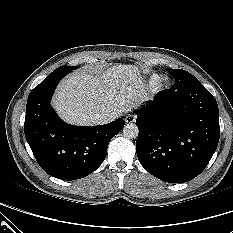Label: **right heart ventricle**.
Listing matches in <instances>:
<instances>
[{
  "label": "right heart ventricle",
  "mask_w": 233,
  "mask_h": 233,
  "mask_svg": "<svg viewBox=\"0 0 233 233\" xmlns=\"http://www.w3.org/2000/svg\"><path fill=\"white\" fill-rule=\"evenodd\" d=\"M159 79H160L159 75H157V74L151 75V76L149 77V79H148V84H149V86H151V87L156 86L157 83H158V81H159Z\"/></svg>",
  "instance_id": "e07e8e85"
}]
</instances>
